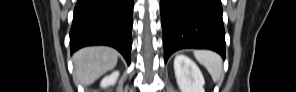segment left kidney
<instances>
[{
    "instance_id": "left-kidney-1",
    "label": "left kidney",
    "mask_w": 296,
    "mask_h": 92,
    "mask_svg": "<svg viewBox=\"0 0 296 92\" xmlns=\"http://www.w3.org/2000/svg\"><path fill=\"white\" fill-rule=\"evenodd\" d=\"M174 71L181 92H205L204 77L191 59L184 55H177L174 59Z\"/></svg>"
}]
</instances>
